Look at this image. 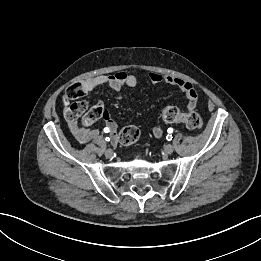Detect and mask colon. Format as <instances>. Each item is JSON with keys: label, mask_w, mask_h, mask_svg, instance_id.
<instances>
[{"label": "colon", "mask_w": 261, "mask_h": 261, "mask_svg": "<svg viewBox=\"0 0 261 261\" xmlns=\"http://www.w3.org/2000/svg\"><path fill=\"white\" fill-rule=\"evenodd\" d=\"M84 95V91L80 83L70 86L65 94L66 100H77ZM70 117L83 118L88 122H95L99 118H104V112L100 106L96 103L92 106L87 105L85 102H75L69 106ZM162 119L167 123L181 122L186 125L187 128L192 130H198L202 128L203 121L200 115L196 112L181 113L178 108L174 106H168L161 111ZM140 137V131L135 126L124 127L119 134V141L124 146L133 145L138 141Z\"/></svg>", "instance_id": "5ec220e1"}]
</instances>
